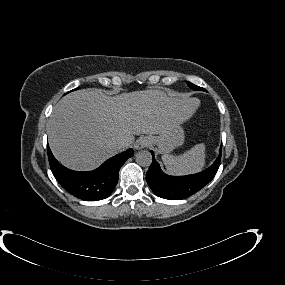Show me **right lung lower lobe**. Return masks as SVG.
I'll use <instances>...</instances> for the list:
<instances>
[{"label":"right lung lower lobe","mask_w":285,"mask_h":285,"mask_svg":"<svg viewBox=\"0 0 285 285\" xmlns=\"http://www.w3.org/2000/svg\"><path fill=\"white\" fill-rule=\"evenodd\" d=\"M48 159L53 175L61 186L73 196L84 201L107 198L118 182V174L126 160L133 156V149L120 153L89 172H78L62 166L47 146Z\"/></svg>","instance_id":"right-lung-lower-lobe-1"}]
</instances>
